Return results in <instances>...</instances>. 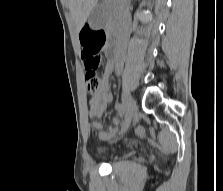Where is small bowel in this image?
Listing matches in <instances>:
<instances>
[{"label":"small bowel","mask_w":223,"mask_h":191,"mask_svg":"<svg viewBox=\"0 0 223 191\" xmlns=\"http://www.w3.org/2000/svg\"><path fill=\"white\" fill-rule=\"evenodd\" d=\"M115 65L108 61L105 66L103 78H102V87L92 94L89 100V111L88 115L92 120L91 126L98 133V137L101 140H110L112 139L117 132L119 127L123 124V119L120 117H115L112 119L114 127H111L107 130H103L102 123L98 119L102 116L103 112L106 110L108 105L112 101V93L110 91V78L114 72ZM118 110V109H117Z\"/></svg>","instance_id":"c3829d8e"}]
</instances>
